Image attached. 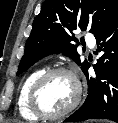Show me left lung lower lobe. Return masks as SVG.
Instances as JSON below:
<instances>
[{
  "mask_svg": "<svg viewBox=\"0 0 118 123\" xmlns=\"http://www.w3.org/2000/svg\"><path fill=\"white\" fill-rule=\"evenodd\" d=\"M95 38L96 54L103 53L94 65L96 76L89 79L88 63L83 70L89 80L88 97L64 122L102 118L118 123V16Z\"/></svg>",
  "mask_w": 118,
  "mask_h": 123,
  "instance_id": "left-lung-lower-lobe-1",
  "label": "left lung lower lobe"
}]
</instances>
